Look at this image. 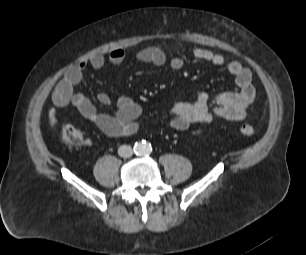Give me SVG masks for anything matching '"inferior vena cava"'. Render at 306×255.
Returning a JSON list of instances; mask_svg holds the SVG:
<instances>
[{
  "instance_id": "1",
  "label": "inferior vena cava",
  "mask_w": 306,
  "mask_h": 255,
  "mask_svg": "<svg viewBox=\"0 0 306 255\" xmlns=\"http://www.w3.org/2000/svg\"><path fill=\"white\" fill-rule=\"evenodd\" d=\"M118 154L120 157L128 158L133 154V149L128 145H122L118 149Z\"/></svg>"
}]
</instances>
